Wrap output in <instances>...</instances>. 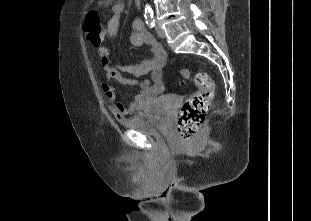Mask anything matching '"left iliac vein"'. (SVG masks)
<instances>
[{"instance_id":"1","label":"left iliac vein","mask_w":311,"mask_h":221,"mask_svg":"<svg viewBox=\"0 0 311 221\" xmlns=\"http://www.w3.org/2000/svg\"><path fill=\"white\" fill-rule=\"evenodd\" d=\"M156 33L160 38L165 37V32H164L163 28L158 23L156 24Z\"/></svg>"}]
</instances>
